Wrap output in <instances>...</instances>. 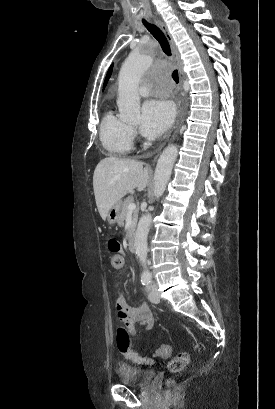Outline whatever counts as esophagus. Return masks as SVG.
Masks as SVG:
<instances>
[{
  "instance_id": "1",
  "label": "esophagus",
  "mask_w": 275,
  "mask_h": 409,
  "mask_svg": "<svg viewBox=\"0 0 275 409\" xmlns=\"http://www.w3.org/2000/svg\"><path fill=\"white\" fill-rule=\"evenodd\" d=\"M155 23L156 25H158V27L160 28V30H162V32L164 33V35L166 36L170 46H171V50H172V55L174 60L177 63V67H178V71H179V85L182 88L183 87V82H184V73H183V69H182V62H181V58H180V54L179 51L175 45V42L173 40L172 35L170 34L168 28L166 27V25L158 20L155 19ZM165 144H162L161 148L164 146Z\"/></svg>"
}]
</instances>
